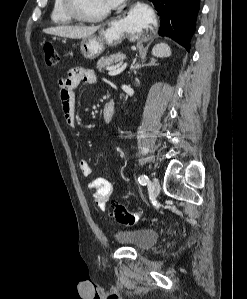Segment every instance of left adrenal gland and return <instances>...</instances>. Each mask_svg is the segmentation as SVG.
I'll use <instances>...</instances> for the list:
<instances>
[{
    "label": "left adrenal gland",
    "instance_id": "obj_1",
    "mask_svg": "<svg viewBox=\"0 0 247 299\" xmlns=\"http://www.w3.org/2000/svg\"><path fill=\"white\" fill-rule=\"evenodd\" d=\"M155 65H157V63H156V60H154V59H151V61L147 64H140L139 62L133 63V65H131V71H135L136 69H139L144 66H155Z\"/></svg>",
    "mask_w": 247,
    "mask_h": 299
}]
</instances>
